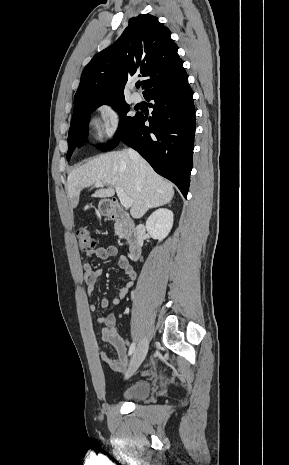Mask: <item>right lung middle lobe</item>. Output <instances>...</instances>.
I'll return each instance as SVG.
<instances>
[{"instance_id": "1", "label": "right lung middle lobe", "mask_w": 289, "mask_h": 465, "mask_svg": "<svg viewBox=\"0 0 289 465\" xmlns=\"http://www.w3.org/2000/svg\"><path fill=\"white\" fill-rule=\"evenodd\" d=\"M103 104H109L115 108V110L119 112L122 119L120 121L115 138L111 142L101 147L102 151H108L115 148L119 144L120 139H122L129 132L138 117V114L133 117L126 116L130 110V107L125 102V99L91 100L74 106L73 120L71 121L68 135V160L70 159V155L74 148L80 143H84L88 136L87 119L89 114L94 109Z\"/></svg>"}]
</instances>
